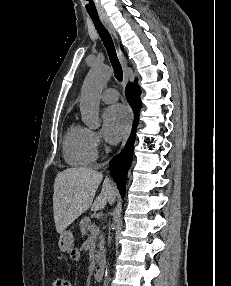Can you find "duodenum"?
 I'll return each mask as SVG.
<instances>
[{"label": "duodenum", "mask_w": 231, "mask_h": 286, "mask_svg": "<svg viewBox=\"0 0 231 286\" xmlns=\"http://www.w3.org/2000/svg\"><path fill=\"white\" fill-rule=\"evenodd\" d=\"M104 273V265L102 263L97 264L95 270H94V278L97 281H101L103 278Z\"/></svg>", "instance_id": "1"}]
</instances>
